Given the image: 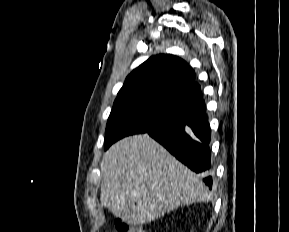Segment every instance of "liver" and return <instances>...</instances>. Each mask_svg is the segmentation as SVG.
<instances>
[{
	"mask_svg": "<svg viewBox=\"0 0 289 232\" xmlns=\"http://www.w3.org/2000/svg\"><path fill=\"white\" fill-rule=\"evenodd\" d=\"M101 204L130 225L150 223L210 193L194 172L148 134L126 137L104 153Z\"/></svg>",
	"mask_w": 289,
	"mask_h": 232,
	"instance_id": "liver-1",
	"label": "liver"
}]
</instances>
